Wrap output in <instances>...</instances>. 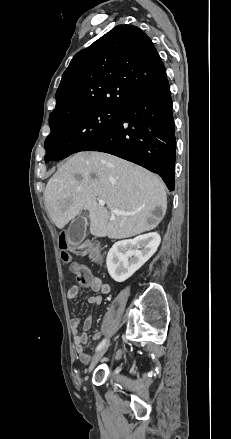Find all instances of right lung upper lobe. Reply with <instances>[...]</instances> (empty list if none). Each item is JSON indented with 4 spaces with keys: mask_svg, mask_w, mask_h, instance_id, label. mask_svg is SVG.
Masks as SVG:
<instances>
[{
    "mask_svg": "<svg viewBox=\"0 0 231 439\" xmlns=\"http://www.w3.org/2000/svg\"><path fill=\"white\" fill-rule=\"evenodd\" d=\"M167 82L151 39L136 26L118 25L73 57L49 120L96 107L122 110L135 97Z\"/></svg>",
    "mask_w": 231,
    "mask_h": 439,
    "instance_id": "cb5924a9",
    "label": "right lung upper lobe"
}]
</instances>
